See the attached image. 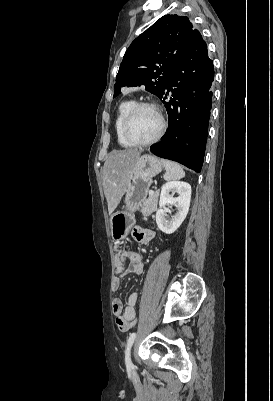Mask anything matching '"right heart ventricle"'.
<instances>
[{
  "label": "right heart ventricle",
  "mask_w": 273,
  "mask_h": 401,
  "mask_svg": "<svg viewBox=\"0 0 273 401\" xmlns=\"http://www.w3.org/2000/svg\"><path fill=\"white\" fill-rule=\"evenodd\" d=\"M136 104L133 99L127 98L122 100L116 108V115L114 121V129L117 136L118 144L123 148H133L134 146L124 140L121 134V126L129 111Z\"/></svg>",
  "instance_id": "obj_1"
}]
</instances>
